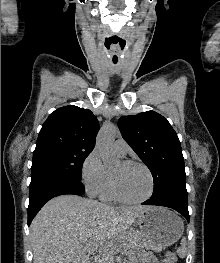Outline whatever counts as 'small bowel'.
Instances as JSON below:
<instances>
[{
    "mask_svg": "<svg viewBox=\"0 0 220 263\" xmlns=\"http://www.w3.org/2000/svg\"><path fill=\"white\" fill-rule=\"evenodd\" d=\"M144 263H168L167 260H159L153 256H148L145 260Z\"/></svg>",
    "mask_w": 220,
    "mask_h": 263,
    "instance_id": "c3829d8e",
    "label": "small bowel"
}]
</instances>
